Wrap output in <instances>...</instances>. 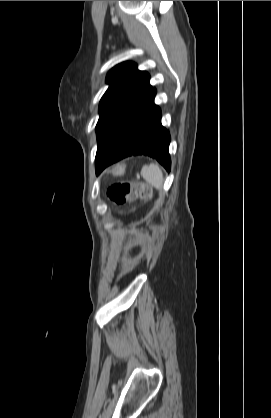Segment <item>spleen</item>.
Instances as JSON below:
<instances>
[{"mask_svg":"<svg viewBox=\"0 0 271 418\" xmlns=\"http://www.w3.org/2000/svg\"><path fill=\"white\" fill-rule=\"evenodd\" d=\"M141 176L144 180L160 190L163 185V173L157 164L151 163L149 166H143L141 169Z\"/></svg>","mask_w":271,"mask_h":418,"instance_id":"spleen-1","label":"spleen"}]
</instances>
